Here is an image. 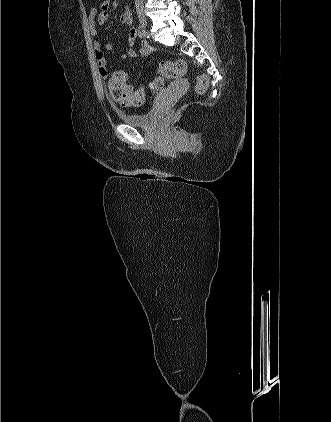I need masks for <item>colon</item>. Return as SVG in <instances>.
Segmentation results:
<instances>
[{
	"mask_svg": "<svg viewBox=\"0 0 331 422\" xmlns=\"http://www.w3.org/2000/svg\"><path fill=\"white\" fill-rule=\"evenodd\" d=\"M187 71V64L183 60L166 61L160 64L159 72L165 78H179ZM208 87V78L200 75L196 79L195 91L203 94ZM108 88L111 97L118 102H129L130 105L140 106L144 102L142 90H134L127 83V76L123 71H115L108 81ZM172 110L170 115H174Z\"/></svg>",
	"mask_w": 331,
	"mask_h": 422,
	"instance_id": "obj_1",
	"label": "colon"
}]
</instances>
